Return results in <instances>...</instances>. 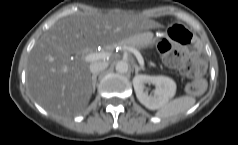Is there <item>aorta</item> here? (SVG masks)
I'll list each match as a JSON object with an SVG mask.
<instances>
[{"mask_svg":"<svg viewBox=\"0 0 238 145\" xmlns=\"http://www.w3.org/2000/svg\"><path fill=\"white\" fill-rule=\"evenodd\" d=\"M118 73H126L129 69L128 63L126 61H119L115 67Z\"/></svg>","mask_w":238,"mask_h":145,"instance_id":"1","label":"aorta"}]
</instances>
